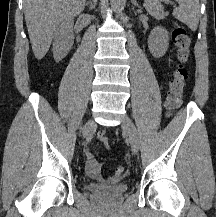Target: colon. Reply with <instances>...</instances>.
<instances>
[{
	"instance_id": "1",
	"label": "colon",
	"mask_w": 216,
	"mask_h": 217,
	"mask_svg": "<svg viewBox=\"0 0 216 217\" xmlns=\"http://www.w3.org/2000/svg\"><path fill=\"white\" fill-rule=\"evenodd\" d=\"M172 37L176 48L177 65L169 82L167 108L170 111L176 110L182 103L183 90L188 76L186 63L189 60L191 43L188 30L182 25L174 27ZM97 139L105 146L109 144V137L105 130H100L97 133ZM124 172V168L118 166L115 170V177L121 178Z\"/></svg>"
}]
</instances>
